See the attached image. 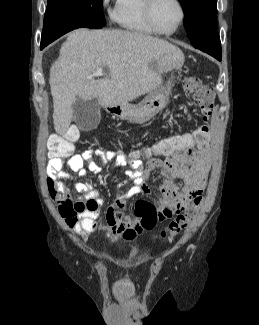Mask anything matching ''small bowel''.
Segmentation results:
<instances>
[{
	"label": "small bowel",
	"mask_w": 259,
	"mask_h": 325,
	"mask_svg": "<svg viewBox=\"0 0 259 325\" xmlns=\"http://www.w3.org/2000/svg\"><path fill=\"white\" fill-rule=\"evenodd\" d=\"M188 118L190 119L189 114ZM200 128L192 132L191 136L198 135ZM179 135L185 133L174 134L168 138H178ZM197 143V149L170 150L158 149L155 144L148 149V154L144 155L146 162L138 152L126 155L122 151L85 150L80 155L70 157L66 169L62 158H55L50 152L47 166L48 186L55 191L52 197L58 205L60 215L77 234L87 237L95 232H102L111 242L119 238L134 240L141 230L140 224L134 215L125 213L124 208L129 198L151 193L147 181L155 170H160L166 177L156 195L158 220L163 221L181 212L190 201L202 194L210 170L208 134ZM94 156L100 158L102 166L108 165L110 169L128 166L125 174L132 183L128 189L121 191L112 205L106 208L105 225L96 221L99 208L104 204L98 188L91 183H77L75 189L82 197L73 201L62 183L71 177V173L81 178H85L88 172L99 174L101 166L94 162ZM175 179H180L182 184L178 185ZM124 184L125 182L119 183V187Z\"/></svg>",
	"instance_id": "c3829d8e"
}]
</instances>
